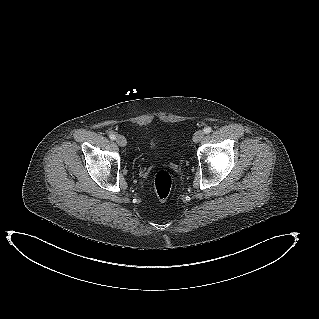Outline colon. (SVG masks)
I'll list each match as a JSON object with an SVG mask.
<instances>
[{
    "label": "colon",
    "instance_id": "5ec220e1",
    "mask_svg": "<svg viewBox=\"0 0 319 319\" xmlns=\"http://www.w3.org/2000/svg\"><path fill=\"white\" fill-rule=\"evenodd\" d=\"M153 184L157 198L164 201L169 197L172 190V175L166 169H159L154 174Z\"/></svg>",
    "mask_w": 319,
    "mask_h": 319
}]
</instances>
